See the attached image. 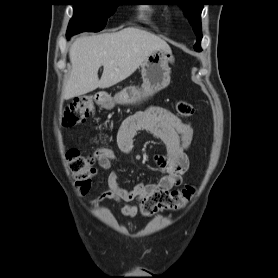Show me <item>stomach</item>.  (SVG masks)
I'll use <instances>...</instances> for the list:
<instances>
[{"mask_svg": "<svg viewBox=\"0 0 278 278\" xmlns=\"http://www.w3.org/2000/svg\"><path fill=\"white\" fill-rule=\"evenodd\" d=\"M174 60L171 50L158 49L153 51L141 65L143 79L141 88L128 86L114 97L104 94V98L99 102L100 105L111 109L115 104L135 105L145 101L169 85L171 79L170 64H173Z\"/></svg>", "mask_w": 278, "mask_h": 278, "instance_id": "0dacf381", "label": "stomach"}]
</instances>
